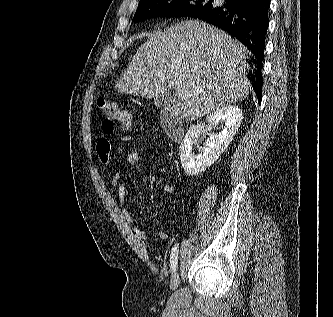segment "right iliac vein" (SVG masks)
I'll return each instance as SVG.
<instances>
[{"instance_id": "63e3f726", "label": "right iliac vein", "mask_w": 333, "mask_h": 317, "mask_svg": "<svg viewBox=\"0 0 333 317\" xmlns=\"http://www.w3.org/2000/svg\"><path fill=\"white\" fill-rule=\"evenodd\" d=\"M179 281H180L179 274H178V272L175 271L173 273L172 277H171L170 289L171 290H175L178 287V285H179Z\"/></svg>"}]
</instances>
